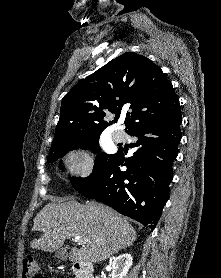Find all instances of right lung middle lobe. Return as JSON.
Listing matches in <instances>:
<instances>
[{"instance_id": "1", "label": "right lung middle lobe", "mask_w": 221, "mask_h": 278, "mask_svg": "<svg viewBox=\"0 0 221 278\" xmlns=\"http://www.w3.org/2000/svg\"><path fill=\"white\" fill-rule=\"evenodd\" d=\"M100 135H93L86 137L82 140L69 143V144H64L57 146L53 149H50L49 151V156L47 162H53L57 158L62 157L65 155L67 152L70 150L77 149L81 147L82 149H89L93 151L94 153H99L100 152V147L98 145V140H99ZM114 155H108L105 153L99 154L96 159H95V164H94V169L92 174L87 177V178H72L71 182L73 187L78 190L81 189L82 187L86 186L90 182H92L104 169L105 167L112 161L114 158ZM60 168H62V165H60Z\"/></svg>"}]
</instances>
